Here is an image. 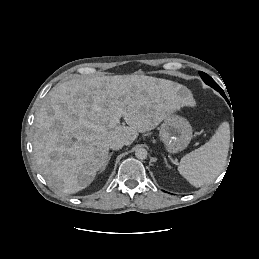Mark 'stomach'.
<instances>
[{"label": "stomach", "mask_w": 259, "mask_h": 259, "mask_svg": "<svg viewBox=\"0 0 259 259\" xmlns=\"http://www.w3.org/2000/svg\"><path fill=\"white\" fill-rule=\"evenodd\" d=\"M187 92V89H182ZM192 127L183 117L170 114L160 127L159 137L169 153L185 149L192 139Z\"/></svg>", "instance_id": "obj_1"}]
</instances>
